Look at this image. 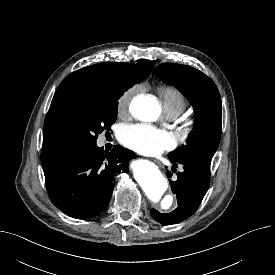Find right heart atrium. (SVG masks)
Wrapping results in <instances>:
<instances>
[{
    "instance_id": "obj_1",
    "label": "right heart atrium",
    "mask_w": 275,
    "mask_h": 275,
    "mask_svg": "<svg viewBox=\"0 0 275 275\" xmlns=\"http://www.w3.org/2000/svg\"><path fill=\"white\" fill-rule=\"evenodd\" d=\"M140 90L141 86L136 84L121 93L117 100V112L120 116H123L128 112L131 100Z\"/></svg>"
}]
</instances>
